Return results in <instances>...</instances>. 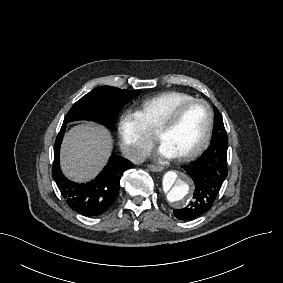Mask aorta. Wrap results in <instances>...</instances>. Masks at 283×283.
I'll return each instance as SVG.
<instances>
[{"mask_svg":"<svg viewBox=\"0 0 283 283\" xmlns=\"http://www.w3.org/2000/svg\"><path fill=\"white\" fill-rule=\"evenodd\" d=\"M160 194L169 204L184 207L192 199L193 181L183 171H168L162 178Z\"/></svg>","mask_w":283,"mask_h":283,"instance_id":"762f6f07","label":"aorta"}]
</instances>
